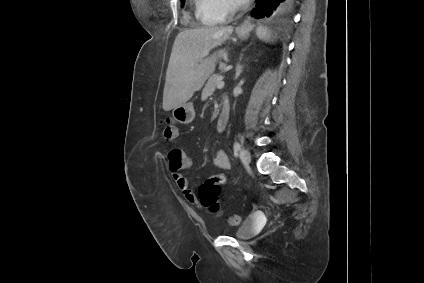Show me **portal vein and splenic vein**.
<instances>
[{"label": "portal vein and splenic vein", "instance_id": "portal-vein-and-splenic-vein-1", "mask_svg": "<svg viewBox=\"0 0 424 283\" xmlns=\"http://www.w3.org/2000/svg\"><path fill=\"white\" fill-rule=\"evenodd\" d=\"M208 53H209V51H208V50H205V51L203 52V56L208 55ZM222 87H224V81L219 80V82H218V84H217V88L221 89Z\"/></svg>", "mask_w": 424, "mask_h": 283}]
</instances>
